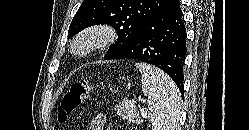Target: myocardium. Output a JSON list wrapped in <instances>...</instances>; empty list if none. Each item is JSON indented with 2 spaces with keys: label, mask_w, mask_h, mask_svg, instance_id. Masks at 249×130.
<instances>
[{
  "label": "myocardium",
  "mask_w": 249,
  "mask_h": 130,
  "mask_svg": "<svg viewBox=\"0 0 249 130\" xmlns=\"http://www.w3.org/2000/svg\"><path fill=\"white\" fill-rule=\"evenodd\" d=\"M117 38L116 29L108 23H95L78 32L69 44V52L83 58L110 46Z\"/></svg>",
  "instance_id": "obj_1"
}]
</instances>
